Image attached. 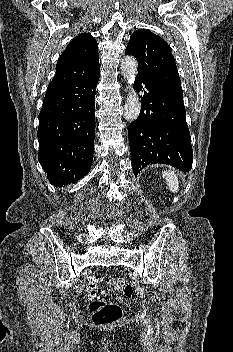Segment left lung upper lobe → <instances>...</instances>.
Here are the masks:
<instances>
[{
	"label": "left lung upper lobe",
	"mask_w": 233,
	"mask_h": 352,
	"mask_svg": "<svg viewBox=\"0 0 233 352\" xmlns=\"http://www.w3.org/2000/svg\"><path fill=\"white\" fill-rule=\"evenodd\" d=\"M138 62V77L183 99L180 77L170 46L150 30H137L125 50Z\"/></svg>",
	"instance_id": "1"
}]
</instances>
